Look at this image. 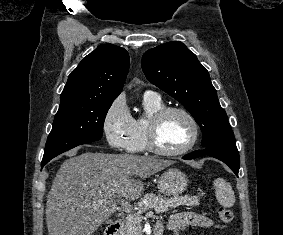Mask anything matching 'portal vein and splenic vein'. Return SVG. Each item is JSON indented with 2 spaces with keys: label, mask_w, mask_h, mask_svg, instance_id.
<instances>
[{
  "label": "portal vein and splenic vein",
  "mask_w": 283,
  "mask_h": 235,
  "mask_svg": "<svg viewBox=\"0 0 283 235\" xmlns=\"http://www.w3.org/2000/svg\"><path fill=\"white\" fill-rule=\"evenodd\" d=\"M118 201H119V200H118ZM119 202H120L121 209H122L125 213H127V214L132 213L133 207H132L128 202H126V201H124V200H120ZM153 215H154V212H153V211H149V212L146 213L145 217H141V220L146 219V218H148V217H151V216H153Z\"/></svg>",
  "instance_id": "18ae733b"
}]
</instances>
